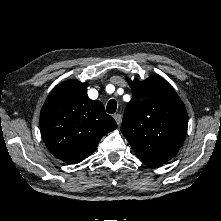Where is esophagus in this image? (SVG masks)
I'll use <instances>...</instances> for the list:
<instances>
[{"instance_id":"34e87169","label":"esophagus","mask_w":221,"mask_h":221,"mask_svg":"<svg viewBox=\"0 0 221 221\" xmlns=\"http://www.w3.org/2000/svg\"><path fill=\"white\" fill-rule=\"evenodd\" d=\"M114 119H115L116 123H117L118 125H120L121 122H122V115H121V114H115V115H114Z\"/></svg>"}]
</instances>
